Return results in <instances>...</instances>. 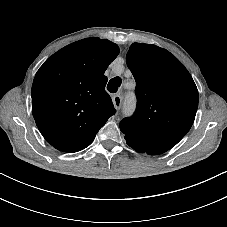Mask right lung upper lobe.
Listing matches in <instances>:
<instances>
[{"instance_id":"right-lung-upper-lobe-1","label":"right lung upper lobe","mask_w":227,"mask_h":227,"mask_svg":"<svg viewBox=\"0 0 227 227\" xmlns=\"http://www.w3.org/2000/svg\"><path fill=\"white\" fill-rule=\"evenodd\" d=\"M118 54L115 43L86 38L53 54L37 71L32 112L53 147L71 153L86 148L115 114L104 72Z\"/></svg>"}]
</instances>
